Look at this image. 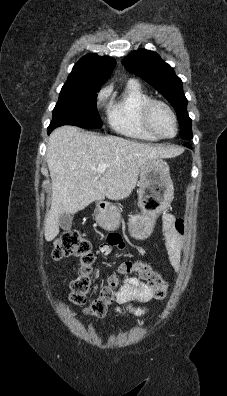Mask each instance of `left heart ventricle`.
<instances>
[{
  "label": "left heart ventricle",
  "instance_id": "b2bd125f",
  "mask_svg": "<svg viewBox=\"0 0 227 396\" xmlns=\"http://www.w3.org/2000/svg\"><path fill=\"white\" fill-rule=\"evenodd\" d=\"M152 123L156 130L164 136H172L175 132L173 118L164 107H154L152 111Z\"/></svg>",
  "mask_w": 227,
  "mask_h": 396
}]
</instances>
